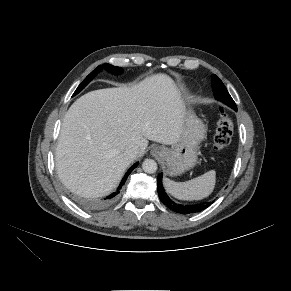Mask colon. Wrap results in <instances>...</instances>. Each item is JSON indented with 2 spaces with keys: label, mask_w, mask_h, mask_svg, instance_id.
I'll return each mask as SVG.
<instances>
[{
  "label": "colon",
  "mask_w": 291,
  "mask_h": 291,
  "mask_svg": "<svg viewBox=\"0 0 291 291\" xmlns=\"http://www.w3.org/2000/svg\"><path fill=\"white\" fill-rule=\"evenodd\" d=\"M233 134V122L226 111L220 109V117L217 123L216 131L213 138V148L215 150H223L231 142Z\"/></svg>",
  "instance_id": "5ec220e1"
}]
</instances>
